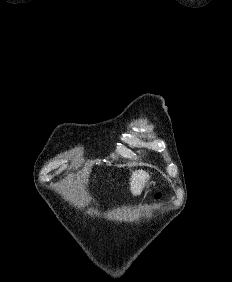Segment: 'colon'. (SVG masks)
Listing matches in <instances>:
<instances>
[{"label":"colon","instance_id":"1","mask_svg":"<svg viewBox=\"0 0 232 282\" xmlns=\"http://www.w3.org/2000/svg\"><path fill=\"white\" fill-rule=\"evenodd\" d=\"M161 198V195L160 194H157L156 195V199H160Z\"/></svg>","mask_w":232,"mask_h":282}]
</instances>
